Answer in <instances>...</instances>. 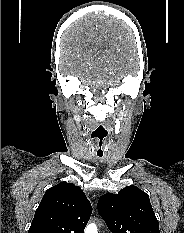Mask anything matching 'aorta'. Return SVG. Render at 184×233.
Segmentation results:
<instances>
[{
  "mask_svg": "<svg viewBox=\"0 0 184 233\" xmlns=\"http://www.w3.org/2000/svg\"><path fill=\"white\" fill-rule=\"evenodd\" d=\"M85 233H98L97 226L95 224H88Z\"/></svg>",
  "mask_w": 184,
  "mask_h": 233,
  "instance_id": "762f6f07",
  "label": "aorta"
}]
</instances>
